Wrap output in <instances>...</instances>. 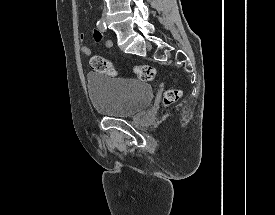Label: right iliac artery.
<instances>
[{
    "mask_svg": "<svg viewBox=\"0 0 275 215\" xmlns=\"http://www.w3.org/2000/svg\"><path fill=\"white\" fill-rule=\"evenodd\" d=\"M97 27L103 32H105L106 29H107V26H106V24L103 20H98L97 21Z\"/></svg>",
    "mask_w": 275,
    "mask_h": 215,
    "instance_id": "right-iliac-artery-1",
    "label": "right iliac artery"
}]
</instances>
